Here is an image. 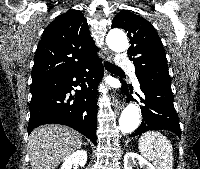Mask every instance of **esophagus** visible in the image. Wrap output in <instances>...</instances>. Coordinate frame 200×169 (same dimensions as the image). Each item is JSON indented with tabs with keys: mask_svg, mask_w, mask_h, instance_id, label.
<instances>
[{
	"mask_svg": "<svg viewBox=\"0 0 200 169\" xmlns=\"http://www.w3.org/2000/svg\"><path fill=\"white\" fill-rule=\"evenodd\" d=\"M107 60L108 61H111L112 60V53L109 52L107 54ZM113 101H114V108L116 111H120L123 107H124V104L121 100H119L115 95H113Z\"/></svg>",
	"mask_w": 200,
	"mask_h": 169,
	"instance_id": "obj_1",
	"label": "esophagus"
}]
</instances>
